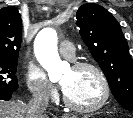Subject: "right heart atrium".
Returning a JSON list of instances; mask_svg holds the SVG:
<instances>
[{"label": "right heart atrium", "instance_id": "1", "mask_svg": "<svg viewBox=\"0 0 133 118\" xmlns=\"http://www.w3.org/2000/svg\"><path fill=\"white\" fill-rule=\"evenodd\" d=\"M26 80L29 91L34 97L50 100L56 96L55 87L40 67H30L27 72Z\"/></svg>", "mask_w": 133, "mask_h": 118}]
</instances>
